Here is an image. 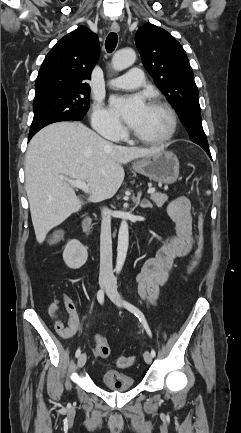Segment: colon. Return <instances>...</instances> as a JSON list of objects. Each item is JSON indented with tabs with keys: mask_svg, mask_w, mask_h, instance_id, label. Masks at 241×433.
Masks as SVG:
<instances>
[{
	"mask_svg": "<svg viewBox=\"0 0 241 433\" xmlns=\"http://www.w3.org/2000/svg\"><path fill=\"white\" fill-rule=\"evenodd\" d=\"M203 230H204V220L203 217L200 216L198 220V245L194 257L192 259V262L190 264L189 271H192L194 268H196L203 255V251H204ZM110 353H111V349L109 344L105 340H102L97 346L98 356L102 359H106L110 356ZM117 364L120 368H128L132 364V358L127 356H121L118 359Z\"/></svg>",
	"mask_w": 241,
	"mask_h": 433,
	"instance_id": "colon-1",
	"label": "colon"
}]
</instances>
